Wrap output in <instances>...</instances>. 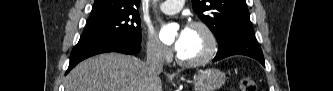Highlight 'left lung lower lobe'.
Segmentation results:
<instances>
[{"instance_id":"obj_1","label":"left lung lower lobe","mask_w":333,"mask_h":91,"mask_svg":"<svg viewBox=\"0 0 333 91\" xmlns=\"http://www.w3.org/2000/svg\"><path fill=\"white\" fill-rule=\"evenodd\" d=\"M218 43V52L213 61H218L231 55H246L257 59L265 66L263 53L255 38L253 28L238 29L230 32Z\"/></svg>"}]
</instances>
